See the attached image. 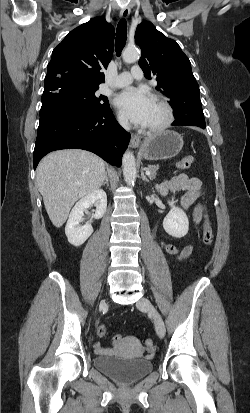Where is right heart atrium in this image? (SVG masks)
Masks as SVG:
<instances>
[{
	"label": "right heart atrium",
	"instance_id": "obj_1",
	"mask_svg": "<svg viewBox=\"0 0 250 413\" xmlns=\"http://www.w3.org/2000/svg\"><path fill=\"white\" fill-rule=\"evenodd\" d=\"M117 121L119 125L122 126L123 128H127L129 125L127 119L121 114L117 116Z\"/></svg>",
	"mask_w": 250,
	"mask_h": 413
}]
</instances>
